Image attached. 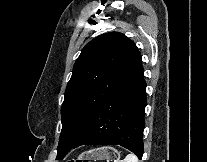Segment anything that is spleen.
I'll use <instances>...</instances> for the list:
<instances>
[{
	"label": "spleen",
	"instance_id": "1",
	"mask_svg": "<svg viewBox=\"0 0 207 162\" xmlns=\"http://www.w3.org/2000/svg\"><path fill=\"white\" fill-rule=\"evenodd\" d=\"M119 162H139V161H138V158H137L136 155H134V154H128V155L124 158V160H121V161H119Z\"/></svg>",
	"mask_w": 207,
	"mask_h": 162
}]
</instances>
